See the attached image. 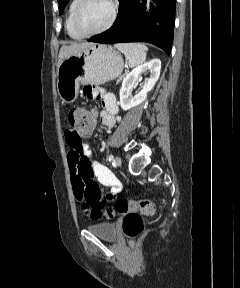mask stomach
I'll use <instances>...</instances> for the list:
<instances>
[{
    "instance_id": "stomach-1",
    "label": "stomach",
    "mask_w": 240,
    "mask_h": 288,
    "mask_svg": "<svg viewBox=\"0 0 240 288\" xmlns=\"http://www.w3.org/2000/svg\"><path fill=\"white\" fill-rule=\"evenodd\" d=\"M122 56L109 45L91 44L63 60L57 71V91L63 103H73L82 85H101L119 77Z\"/></svg>"
}]
</instances>
